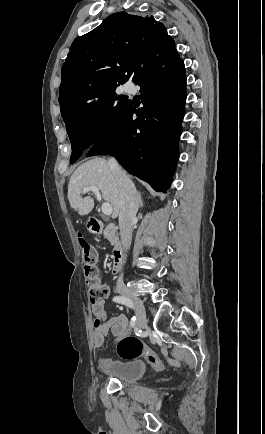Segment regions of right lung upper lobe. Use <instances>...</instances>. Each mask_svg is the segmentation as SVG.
I'll return each instance as SVG.
<instances>
[{
  "label": "right lung upper lobe",
  "instance_id": "obj_1",
  "mask_svg": "<svg viewBox=\"0 0 265 434\" xmlns=\"http://www.w3.org/2000/svg\"><path fill=\"white\" fill-rule=\"evenodd\" d=\"M175 42L153 17L121 11L77 37L62 66L59 99L106 81L134 82Z\"/></svg>",
  "mask_w": 265,
  "mask_h": 434
}]
</instances>
